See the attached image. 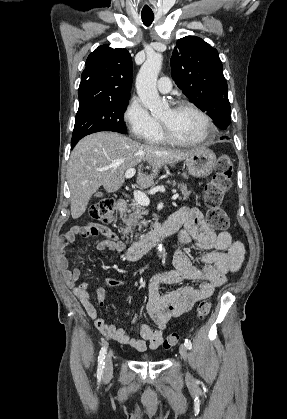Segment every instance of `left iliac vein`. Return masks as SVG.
I'll use <instances>...</instances> for the list:
<instances>
[{"label":"left iliac vein","mask_w":287,"mask_h":419,"mask_svg":"<svg viewBox=\"0 0 287 419\" xmlns=\"http://www.w3.org/2000/svg\"><path fill=\"white\" fill-rule=\"evenodd\" d=\"M179 352H180V355L182 356V358L184 360H187V358H188V350H187V347L185 346V344H181L180 345ZM187 377L188 378L191 377L189 373H187Z\"/></svg>","instance_id":"1"}]
</instances>
